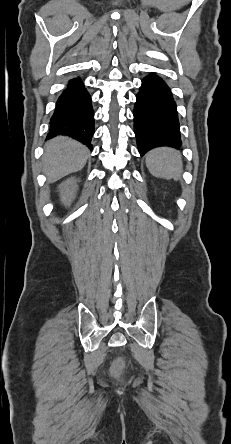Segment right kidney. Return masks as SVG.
<instances>
[{
    "instance_id": "1",
    "label": "right kidney",
    "mask_w": 231,
    "mask_h": 444,
    "mask_svg": "<svg viewBox=\"0 0 231 444\" xmlns=\"http://www.w3.org/2000/svg\"><path fill=\"white\" fill-rule=\"evenodd\" d=\"M77 189L78 186L76 184V179L73 177L61 183L59 185V191L61 194L62 202H70L74 198Z\"/></svg>"
}]
</instances>
